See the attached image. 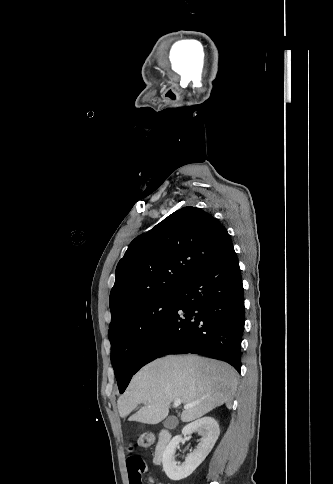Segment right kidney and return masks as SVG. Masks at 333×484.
I'll return each mask as SVG.
<instances>
[{"instance_id": "1", "label": "right kidney", "mask_w": 333, "mask_h": 484, "mask_svg": "<svg viewBox=\"0 0 333 484\" xmlns=\"http://www.w3.org/2000/svg\"><path fill=\"white\" fill-rule=\"evenodd\" d=\"M198 432L201 436L198 446L190 453L181 465L175 461V450L179 446L181 436H175L167 445L163 457V470L167 477L173 481H179L190 476L195 469L205 460L217 441L220 429L217 421L212 417H204L186 425L182 434L184 436Z\"/></svg>"}]
</instances>
